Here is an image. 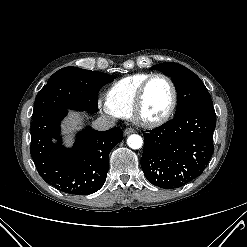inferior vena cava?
<instances>
[{
  "mask_svg": "<svg viewBox=\"0 0 247 247\" xmlns=\"http://www.w3.org/2000/svg\"><path fill=\"white\" fill-rule=\"evenodd\" d=\"M114 121L111 120L109 117H98L95 121L92 122V127L95 130H99V131H104V130H108L112 127H114Z\"/></svg>",
  "mask_w": 247,
  "mask_h": 247,
  "instance_id": "1",
  "label": "inferior vena cava"
}]
</instances>
